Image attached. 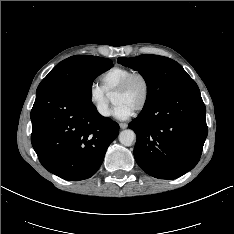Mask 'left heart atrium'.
<instances>
[{"label":"left heart atrium","mask_w":234,"mask_h":234,"mask_svg":"<svg viewBox=\"0 0 234 234\" xmlns=\"http://www.w3.org/2000/svg\"><path fill=\"white\" fill-rule=\"evenodd\" d=\"M134 111L123 104H116L113 109V115L121 120L129 118Z\"/></svg>","instance_id":"left-heart-atrium-1"}]
</instances>
